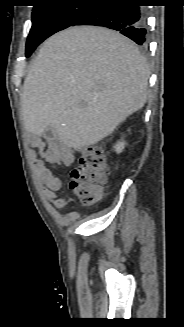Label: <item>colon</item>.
Here are the masks:
<instances>
[{
	"label": "colon",
	"mask_w": 184,
	"mask_h": 327,
	"mask_svg": "<svg viewBox=\"0 0 184 327\" xmlns=\"http://www.w3.org/2000/svg\"><path fill=\"white\" fill-rule=\"evenodd\" d=\"M108 176L104 150L99 145H92L84 151L78 166L71 172L69 187L80 202L89 204L101 197Z\"/></svg>",
	"instance_id": "obj_1"
}]
</instances>
